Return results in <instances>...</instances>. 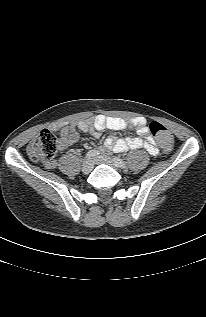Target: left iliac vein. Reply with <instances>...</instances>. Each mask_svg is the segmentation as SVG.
Wrapping results in <instances>:
<instances>
[{
  "label": "left iliac vein",
  "instance_id": "1",
  "mask_svg": "<svg viewBox=\"0 0 206 317\" xmlns=\"http://www.w3.org/2000/svg\"><path fill=\"white\" fill-rule=\"evenodd\" d=\"M94 163L95 164H108L110 166H112L113 168H116L117 165L116 163L114 162V160H112L110 157L108 156H100V157H97L94 159Z\"/></svg>",
  "mask_w": 206,
  "mask_h": 317
}]
</instances>
